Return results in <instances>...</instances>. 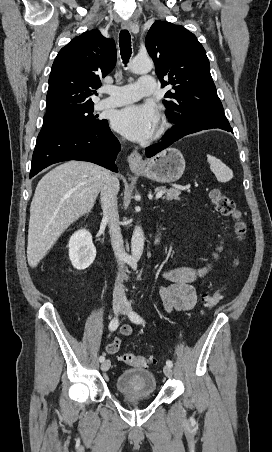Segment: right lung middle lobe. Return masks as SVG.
Masks as SVG:
<instances>
[{
  "label": "right lung middle lobe",
  "mask_w": 272,
  "mask_h": 452,
  "mask_svg": "<svg viewBox=\"0 0 272 452\" xmlns=\"http://www.w3.org/2000/svg\"><path fill=\"white\" fill-rule=\"evenodd\" d=\"M94 104L61 112L45 114L43 127L64 125L78 128H91L105 122L97 119L98 115H93Z\"/></svg>",
  "instance_id": "obj_1"
}]
</instances>
